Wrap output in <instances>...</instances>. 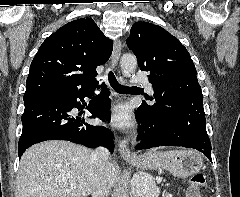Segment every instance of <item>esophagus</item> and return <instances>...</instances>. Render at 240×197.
I'll return each instance as SVG.
<instances>
[{
    "label": "esophagus",
    "instance_id": "obj_1",
    "mask_svg": "<svg viewBox=\"0 0 240 197\" xmlns=\"http://www.w3.org/2000/svg\"><path fill=\"white\" fill-rule=\"evenodd\" d=\"M121 50H122V42L121 40H117L114 43L113 52L111 56L112 68H116L118 66ZM118 146H119L120 155L123 159L129 161V160H135L137 158L136 155L130 151L127 143L124 140L119 139Z\"/></svg>",
    "mask_w": 240,
    "mask_h": 197
}]
</instances>
